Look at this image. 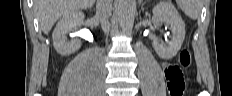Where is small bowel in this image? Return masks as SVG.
<instances>
[{
  "label": "small bowel",
  "mask_w": 232,
  "mask_h": 96,
  "mask_svg": "<svg viewBox=\"0 0 232 96\" xmlns=\"http://www.w3.org/2000/svg\"><path fill=\"white\" fill-rule=\"evenodd\" d=\"M163 68H170V63H163Z\"/></svg>",
  "instance_id": "c3829d8e"
}]
</instances>
